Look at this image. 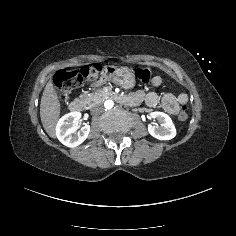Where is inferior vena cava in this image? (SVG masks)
Here are the masks:
<instances>
[{
	"instance_id": "1",
	"label": "inferior vena cava",
	"mask_w": 236,
	"mask_h": 236,
	"mask_svg": "<svg viewBox=\"0 0 236 236\" xmlns=\"http://www.w3.org/2000/svg\"><path fill=\"white\" fill-rule=\"evenodd\" d=\"M103 110H104V108H103L102 104H97L92 108L91 112L97 114V113H102Z\"/></svg>"
}]
</instances>
